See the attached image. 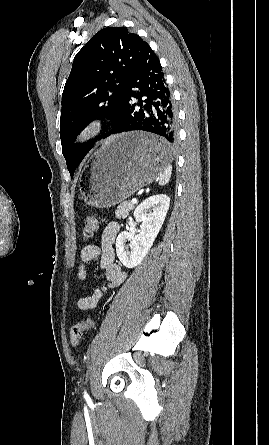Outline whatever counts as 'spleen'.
I'll use <instances>...</instances> for the list:
<instances>
[{
  "label": "spleen",
  "mask_w": 269,
  "mask_h": 445,
  "mask_svg": "<svg viewBox=\"0 0 269 445\" xmlns=\"http://www.w3.org/2000/svg\"><path fill=\"white\" fill-rule=\"evenodd\" d=\"M172 173V166L168 165L164 172L157 179L159 185H165L169 182Z\"/></svg>",
  "instance_id": "1"
}]
</instances>
